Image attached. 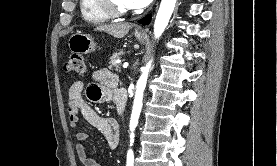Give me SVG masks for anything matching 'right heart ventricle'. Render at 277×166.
<instances>
[{
    "label": "right heart ventricle",
    "mask_w": 277,
    "mask_h": 166,
    "mask_svg": "<svg viewBox=\"0 0 277 166\" xmlns=\"http://www.w3.org/2000/svg\"><path fill=\"white\" fill-rule=\"evenodd\" d=\"M80 11L84 20L102 24L110 20V17L99 9L94 0H80Z\"/></svg>",
    "instance_id": "right-heart-ventricle-1"
}]
</instances>
